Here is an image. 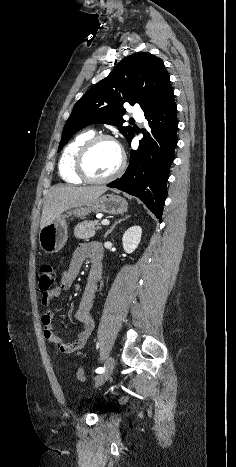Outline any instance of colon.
<instances>
[{"label": "colon", "mask_w": 236, "mask_h": 467, "mask_svg": "<svg viewBox=\"0 0 236 467\" xmlns=\"http://www.w3.org/2000/svg\"><path fill=\"white\" fill-rule=\"evenodd\" d=\"M39 289L43 294H47L54 289L56 283V272L51 265H43L38 272ZM77 378L83 382L85 381V373L83 369L77 371Z\"/></svg>", "instance_id": "obj_1"}]
</instances>
